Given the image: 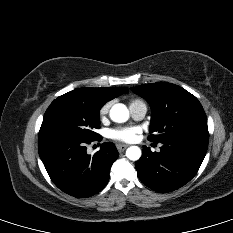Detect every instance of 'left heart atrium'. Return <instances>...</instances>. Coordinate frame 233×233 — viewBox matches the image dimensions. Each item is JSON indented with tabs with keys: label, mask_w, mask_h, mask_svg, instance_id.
I'll list each match as a JSON object with an SVG mask.
<instances>
[{
	"label": "left heart atrium",
	"mask_w": 233,
	"mask_h": 233,
	"mask_svg": "<svg viewBox=\"0 0 233 233\" xmlns=\"http://www.w3.org/2000/svg\"><path fill=\"white\" fill-rule=\"evenodd\" d=\"M140 130L136 127L118 128L110 131V137L112 139L122 142H134L139 134Z\"/></svg>",
	"instance_id": "left-heart-atrium-1"
}]
</instances>
